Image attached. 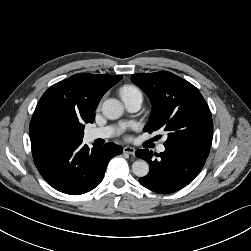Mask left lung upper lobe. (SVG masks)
<instances>
[{
  "label": "left lung upper lobe",
  "instance_id": "1",
  "mask_svg": "<svg viewBox=\"0 0 251 251\" xmlns=\"http://www.w3.org/2000/svg\"><path fill=\"white\" fill-rule=\"evenodd\" d=\"M131 80L148 95L152 104L145 132L166 131L165 146H211V113L195 86L167 71L133 74Z\"/></svg>",
  "mask_w": 251,
  "mask_h": 251
}]
</instances>
